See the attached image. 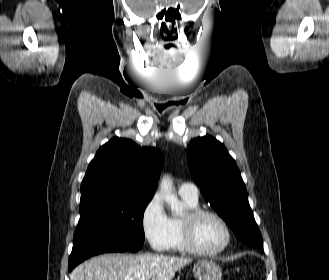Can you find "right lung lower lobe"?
Listing matches in <instances>:
<instances>
[{
  "mask_svg": "<svg viewBox=\"0 0 329 280\" xmlns=\"http://www.w3.org/2000/svg\"><path fill=\"white\" fill-rule=\"evenodd\" d=\"M125 251L126 250H121V249L113 248V247H103V248H100V249H96V250H94L92 252H89L85 256H83L81 259H79L78 261H76L72 266H69L68 270L71 271L79 263H81L85 259L90 258L91 256L102 254V253H107V252H125Z\"/></svg>",
  "mask_w": 329,
  "mask_h": 280,
  "instance_id": "1",
  "label": "right lung lower lobe"
}]
</instances>
